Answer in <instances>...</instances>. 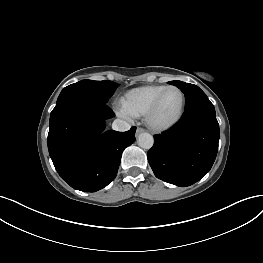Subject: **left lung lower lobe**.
Wrapping results in <instances>:
<instances>
[{
  "label": "left lung lower lobe",
  "instance_id": "left-lung-lower-lobe-1",
  "mask_svg": "<svg viewBox=\"0 0 263 263\" xmlns=\"http://www.w3.org/2000/svg\"><path fill=\"white\" fill-rule=\"evenodd\" d=\"M219 141L215 108L207 100L185 109L170 130L154 136L147 157L155 176L186 187L199 181L212 167Z\"/></svg>",
  "mask_w": 263,
  "mask_h": 263
}]
</instances>
